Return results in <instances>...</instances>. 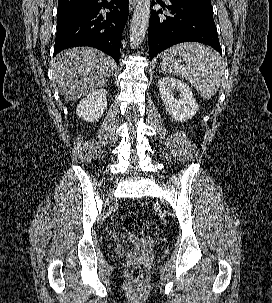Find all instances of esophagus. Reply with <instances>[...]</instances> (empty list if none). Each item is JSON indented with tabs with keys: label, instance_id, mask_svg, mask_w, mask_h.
Listing matches in <instances>:
<instances>
[{
	"label": "esophagus",
	"instance_id": "obj_1",
	"mask_svg": "<svg viewBox=\"0 0 272 303\" xmlns=\"http://www.w3.org/2000/svg\"><path fill=\"white\" fill-rule=\"evenodd\" d=\"M137 0H129V11L131 12L136 5Z\"/></svg>",
	"mask_w": 272,
	"mask_h": 303
}]
</instances>
